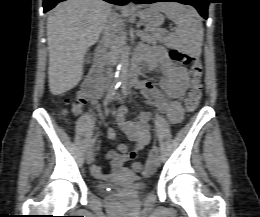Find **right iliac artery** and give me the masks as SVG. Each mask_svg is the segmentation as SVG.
Instances as JSON below:
<instances>
[{"label": "right iliac artery", "mask_w": 260, "mask_h": 217, "mask_svg": "<svg viewBox=\"0 0 260 217\" xmlns=\"http://www.w3.org/2000/svg\"><path fill=\"white\" fill-rule=\"evenodd\" d=\"M120 86H121V82H117L114 84V86H112V88L110 89V91L108 92L105 98V104H109L112 101L117 89ZM95 143H96V138H93L89 144V150H91L94 147Z\"/></svg>", "instance_id": "obj_1"}]
</instances>
